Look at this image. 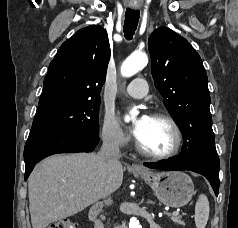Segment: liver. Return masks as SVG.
<instances>
[{
  "mask_svg": "<svg viewBox=\"0 0 238 228\" xmlns=\"http://www.w3.org/2000/svg\"><path fill=\"white\" fill-rule=\"evenodd\" d=\"M123 167L102 163L98 154L54 155L39 163L28 179L33 228L72 216L111 194L122 184Z\"/></svg>",
  "mask_w": 238,
  "mask_h": 228,
  "instance_id": "1",
  "label": "liver"
}]
</instances>
